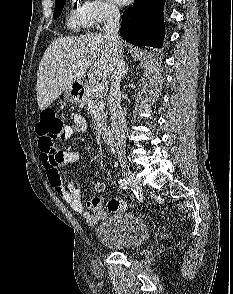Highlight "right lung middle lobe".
I'll return each instance as SVG.
<instances>
[{
    "label": "right lung middle lobe",
    "mask_w": 233,
    "mask_h": 294,
    "mask_svg": "<svg viewBox=\"0 0 233 294\" xmlns=\"http://www.w3.org/2000/svg\"><path fill=\"white\" fill-rule=\"evenodd\" d=\"M65 0H55V10H54V16L53 18L56 19L59 17V15L62 12V9L64 7Z\"/></svg>",
    "instance_id": "obj_1"
}]
</instances>
